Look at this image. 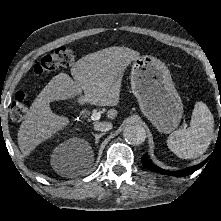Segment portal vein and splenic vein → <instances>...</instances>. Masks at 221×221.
<instances>
[{"instance_id": "18ae733b", "label": "portal vein and splenic vein", "mask_w": 221, "mask_h": 221, "mask_svg": "<svg viewBox=\"0 0 221 221\" xmlns=\"http://www.w3.org/2000/svg\"><path fill=\"white\" fill-rule=\"evenodd\" d=\"M100 113L99 112H93L92 114H91V120L92 121H97V120H99L100 119Z\"/></svg>"}]
</instances>
